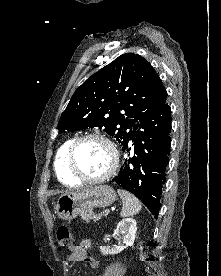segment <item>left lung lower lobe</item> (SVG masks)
I'll list each match as a JSON object with an SVG mask.
<instances>
[{
  "mask_svg": "<svg viewBox=\"0 0 221 276\" xmlns=\"http://www.w3.org/2000/svg\"><path fill=\"white\" fill-rule=\"evenodd\" d=\"M171 108L165 102L142 122L131 140L133 154L121 166L113 182L132 192L158 217L171 146ZM128 144L123 151L129 152Z\"/></svg>",
  "mask_w": 221,
  "mask_h": 276,
  "instance_id": "1",
  "label": "left lung lower lobe"
}]
</instances>
